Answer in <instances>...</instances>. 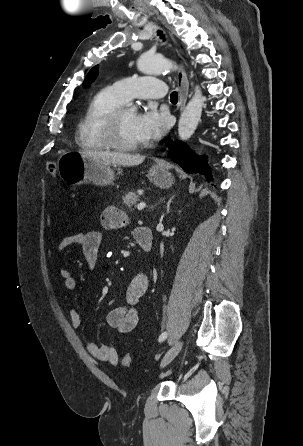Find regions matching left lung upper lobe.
Wrapping results in <instances>:
<instances>
[{
    "label": "left lung upper lobe",
    "mask_w": 303,
    "mask_h": 446,
    "mask_svg": "<svg viewBox=\"0 0 303 446\" xmlns=\"http://www.w3.org/2000/svg\"><path fill=\"white\" fill-rule=\"evenodd\" d=\"M98 74V66L93 67L87 74L83 86L88 87L91 82H93Z\"/></svg>",
    "instance_id": "5c2ea615"
}]
</instances>
